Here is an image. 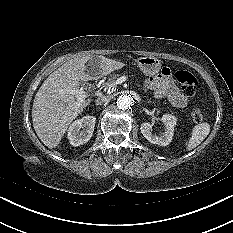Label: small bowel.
<instances>
[{
  "mask_svg": "<svg viewBox=\"0 0 233 233\" xmlns=\"http://www.w3.org/2000/svg\"><path fill=\"white\" fill-rule=\"evenodd\" d=\"M146 86L154 91L156 98L167 97L176 108H184L188 98L175 85L169 68H163L161 73L147 80Z\"/></svg>",
  "mask_w": 233,
  "mask_h": 233,
  "instance_id": "1",
  "label": "small bowel"
}]
</instances>
